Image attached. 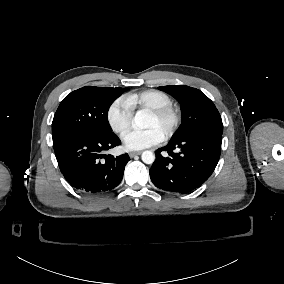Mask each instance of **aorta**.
Instances as JSON below:
<instances>
[{
    "label": "aorta",
    "instance_id": "obj_1",
    "mask_svg": "<svg viewBox=\"0 0 284 284\" xmlns=\"http://www.w3.org/2000/svg\"><path fill=\"white\" fill-rule=\"evenodd\" d=\"M134 122L137 127L146 128L148 117L143 111H138L134 117ZM142 161L146 164H152L155 161V155L151 151H144L141 155Z\"/></svg>",
    "mask_w": 284,
    "mask_h": 284
}]
</instances>
